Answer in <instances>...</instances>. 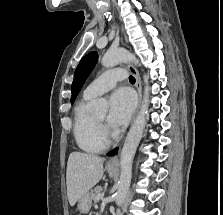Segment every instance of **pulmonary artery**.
I'll return each mask as SVG.
<instances>
[{
	"mask_svg": "<svg viewBox=\"0 0 223 215\" xmlns=\"http://www.w3.org/2000/svg\"><path fill=\"white\" fill-rule=\"evenodd\" d=\"M125 74H128V69H122V72L120 69H108L107 73L97 77L86 87L84 95L96 97L109 91L116 86L118 81L125 78Z\"/></svg>",
	"mask_w": 223,
	"mask_h": 215,
	"instance_id": "1",
	"label": "pulmonary artery"
}]
</instances>
